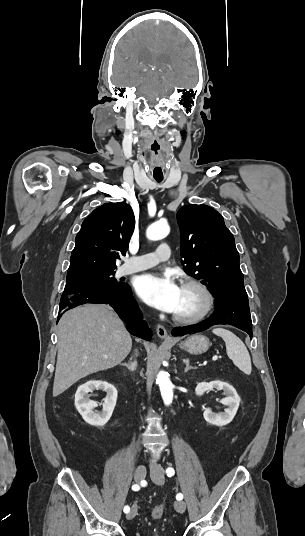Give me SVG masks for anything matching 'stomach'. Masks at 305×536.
<instances>
[{"instance_id":"stomach-1","label":"stomach","mask_w":305,"mask_h":536,"mask_svg":"<svg viewBox=\"0 0 305 536\" xmlns=\"http://www.w3.org/2000/svg\"><path fill=\"white\" fill-rule=\"evenodd\" d=\"M178 346H180L182 350L189 352V354L198 356V354H204V352H207L211 344L206 336H190V338H187L185 342L178 344Z\"/></svg>"}]
</instances>
